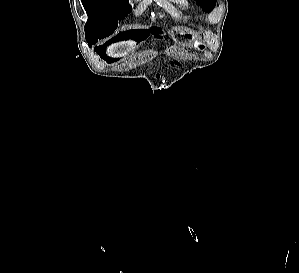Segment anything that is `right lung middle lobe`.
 <instances>
[{"label":"right lung middle lobe","mask_w":299,"mask_h":273,"mask_svg":"<svg viewBox=\"0 0 299 273\" xmlns=\"http://www.w3.org/2000/svg\"><path fill=\"white\" fill-rule=\"evenodd\" d=\"M87 12L86 40L102 39L112 34L122 20L132 11L129 0H81Z\"/></svg>","instance_id":"1"}]
</instances>
